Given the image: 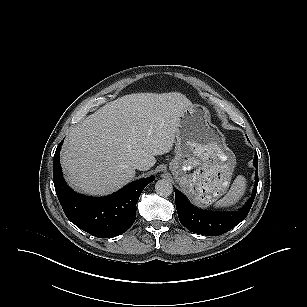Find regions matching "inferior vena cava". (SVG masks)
Here are the masks:
<instances>
[{
  "mask_svg": "<svg viewBox=\"0 0 307 307\" xmlns=\"http://www.w3.org/2000/svg\"><path fill=\"white\" fill-rule=\"evenodd\" d=\"M134 167L137 168L138 170H147L148 167L143 161H136L134 163Z\"/></svg>",
  "mask_w": 307,
  "mask_h": 307,
  "instance_id": "1",
  "label": "inferior vena cava"
}]
</instances>
